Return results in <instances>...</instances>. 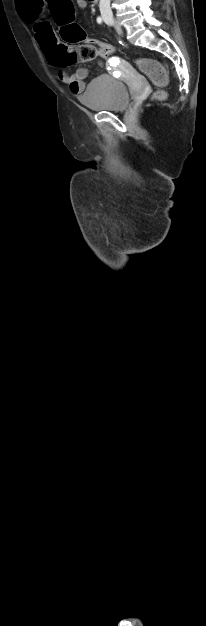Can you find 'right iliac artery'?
Instances as JSON below:
<instances>
[{
	"instance_id": "right-iliac-artery-1",
	"label": "right iliac artery",
	"mask_w": 206,
	"mask_h": 626,
	"mask_svg": "<svg viewBox=\"0 0 206 626\" xmlns=\"http://www.w3.org/2000/svg\"><path fill=\"white\" fill-rule=\"evenodd\" d=\"M97 23H99V24L102 23V18L100 16L97 18Z\"/></svg>"
}]
</instances>
